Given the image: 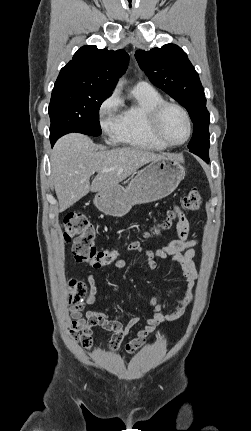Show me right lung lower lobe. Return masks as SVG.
<instances>
[{
	"instance_id": "obj_1",
	"label": "right lung lower lobe",
	"mask_w": 251,
	"mask_h": 431,
	"mask_svg": "<svg viewBox=\"0 0 251 431\" xmlns=\"http://www.w3.org/2000/svg\"><path fill=\"white\" fill-rule=\"evenodd\" d=\"M56 140H57V139H55V138H50V142H51V145H52V146L54 145V143L56 142Z\"/></svg>"
}]
</instances>
